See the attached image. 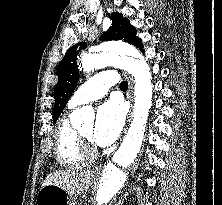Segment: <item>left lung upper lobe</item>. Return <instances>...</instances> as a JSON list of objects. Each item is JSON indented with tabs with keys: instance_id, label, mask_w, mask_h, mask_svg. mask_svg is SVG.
Wrapping results in <instances>:
<instances>
[{
	"instance_id": "1",
	"label": "left lung upper lobe",
	"mask_w": 222,
	"mask_h": 205,
	"mask_svg": "<svg viewBox=\"0 0 222 205\" xmlns=\"http://www.w3.org/2000/svg\"><path fill=\"white\" fill-rule=\"evenodd\" d=\"M112 26L101 36L102 41L124 40L136 47L141 45V39L136 36V29L130 24V21L118 12L111 14ZM84 42L72 46L65 54L57 68L58 82L54 90L55 105L53 107V123L62 113L69 98L76 88L79 80L77 66L78 53L86 48Z\"/></svg>"
}]
</instances>
